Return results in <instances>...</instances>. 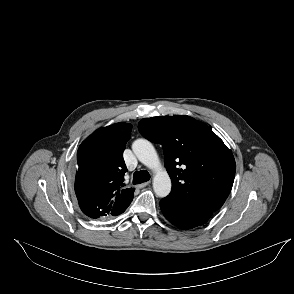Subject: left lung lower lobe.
I'll return each instance as SVG.
<instances>
[{
    "label": "left lung lower lobe",
    "mask_w": 294,
    "mask_h": 294,
    "mask_svg": "<svg viewBox=\"0 0 294 294\" xmlns=\"http://www.w3.org/2000/svg\"><path fill=\"white\" fill-rule=\"evenodd\" d=\"M160 207L166 219L182 229H191L205 224L213 213L192 202L177 200L170 196L160 201Z\"/></svg>",
    "instance_id": "obj_1"
}]
</instances>
